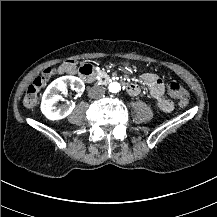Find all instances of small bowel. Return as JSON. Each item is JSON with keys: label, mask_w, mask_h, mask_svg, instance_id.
Returning a JSON list of instances; mask_svg holds the SVG:
<instances>
[{"label": "small bowel", "mask_w": 217, "mask_h": 217, "mask_svg": "<svg viewBox=\"0 0 217 217\" xmlns=\"http://www.w3.org/2000/svg\"><path fill=\"white\" fill-rule=\"evenodd\" d=\"M141 78H142L143 82L152 89V91L154 93V96H155L156 100L158 101V108L162 112H165V113L171 112L172 109H173V104L164 95V93H163V87H162V82L158 78V76L153 75V74H143L141 76ZM137 94L138 93L131 94V95H137Z\"/></svg>", "instance_id": "1"}]
</instances>
